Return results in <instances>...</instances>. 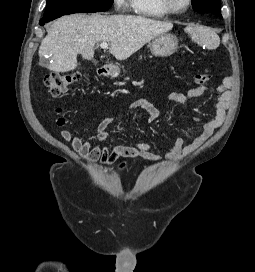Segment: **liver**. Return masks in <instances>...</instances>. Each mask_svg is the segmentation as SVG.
Segmentation results:
<instances>
[{"label":"liver","mask_w":255,"mask_h":272,"mask_svg":"<svg viewBox=\"0 0 255 272\" xmlns=\"http://www.w3.org/2000/svg\"><path fill=\"white\" fill-rule=\"evenodd\" d=\"M172 28L171 22L135 15H67L50 26L41 42L39 56L49 60V70L68 72L77 67L78 54L90 60L95 44L107 42L109 52L122 61Z\"/></svg>","instance_id":"obj_1"}]
</instances>
